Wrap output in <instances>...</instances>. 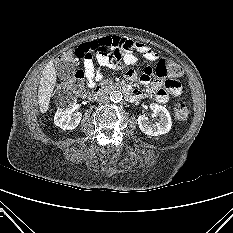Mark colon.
Instances as JSON below:
<instances>
[{"mask_svg":"<svg viewBox=\"0 0 233 233\" xmlns=\"http://www.w3.org/2000/svg\"><path fill=\"white\" fill-rule=\"evenodd\" d=\"M157 73L160 76L170 75L172 77H178L182 74V68L176 61L166 58L158 64ZM84 77V73L78 71L73 78L64 82L63 88L77 96H82L85 90ZM174 114L178 120L184 121L189 117L190 110L186 104L177 103L174 107Z\"/></svg>","mask_w":233,"mask_h":233,"instance_id":"1","label":"colon"}]
</instances>
